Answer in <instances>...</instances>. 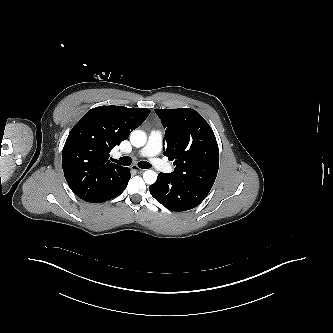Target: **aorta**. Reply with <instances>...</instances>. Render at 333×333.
Returning <instances> with one entry per match:
<instances>
[{
  "mask_svg": "<svg viewBox=\"0 0 333 333\" xmlns=\"http://www.w3.org/2000/svg\"><path fill=\"white\" fill-rule=\"evenodd\" d=\"M147 140L145 132L141 130H134L130 135V142L134 147H142ZM143 179L147 184H153L157 180V174L153 170H147L143 173Z\"/></svg>",
  "mask_w": 333,
  "mask_h": 333,
  "instance_id": "aorta-1",
  "label": "aorta"
}]
</instances>
